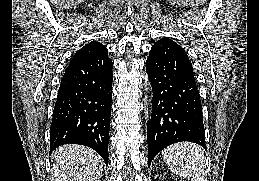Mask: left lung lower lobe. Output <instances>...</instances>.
Returning <instances> with one entry per match:
<instances>
[{"mask_svg": "<svg viewBox=\"0 0 259 181\" xmlns=\"http://www.w3.org/2000/svg\"><path fill=\"white\" fill-rule=\"evenodd\" d=\"M146 70L153 90L147 125L148 165L173 143L191 141L206 149L199 90L185 50L162 38L152 46Z\"/></svg>", "mask_w": 259, "mask_h": 181, "instance_id": "left-lung-lower-lobe-1", "label": "left lung lower lobe"}]
</instances>
